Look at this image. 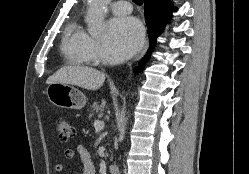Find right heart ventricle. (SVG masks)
<instances>
[{
	"instance_id": "1",
	"label": "right heart ventricle",
	"mask_w": 249,
	"mask_h": 174,
	"mask_svg": "<svg viewBox=\"0 0 249 174\" xmlns=\"http://www.w3.org/2000/svg\"><path fill=\"white\" fill-rule=\"evenodd\" d=\"M88 34L78 19L72 21L65 29L61 50L69 64L83 66L91 63L86 49Z\"/></svg>"
}]
</instances>
